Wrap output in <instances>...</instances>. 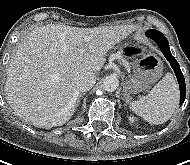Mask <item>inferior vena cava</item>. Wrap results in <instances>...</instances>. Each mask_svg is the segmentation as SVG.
Listing matches in <instances>:
<instances>
[{"mask_svg": "<svg viewBox=\"0 0 190 165\" xmlns=\"http://www.w3.org/2000/svg\"><path fill=\"white\" fill-rule=\"evenodd\" d=\"M96 82V76L93 72H86L77 76L75 84L77 92H86L90 90Z\"/></svg>", "mask_w": 190, "mask_h": 165, "instance_id": "1", "label": "inferior vena cava"}]
</instances>
